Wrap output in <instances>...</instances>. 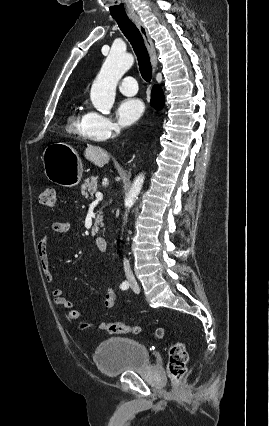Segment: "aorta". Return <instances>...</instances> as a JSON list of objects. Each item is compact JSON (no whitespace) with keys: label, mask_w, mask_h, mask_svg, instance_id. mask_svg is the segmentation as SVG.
Returning a JSON list of instances; mask_svg holds the SVG:
<instances>
[{"label":"aorta","mask_w":269,"mask_h":426,"mask_svg":"<svg viewBox=\"0 0 269 426\" xmlns=\"http://www.w3.org/2000/svg\"><path fill=\"white\" fill-rule=\"evenodd\" d=\"M133 63L134 57L131 54L111 50L91 88V101L98 111L103 114L110 113L115 101L117 83ZM144 179L143 173L134 179L125 198V207L128 211L140 194Z\"/></svg>","instance_id":"obj_1"}]
</instances>
